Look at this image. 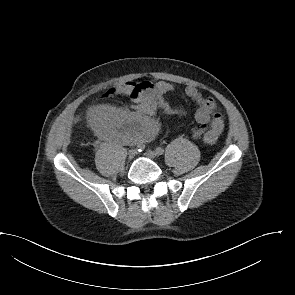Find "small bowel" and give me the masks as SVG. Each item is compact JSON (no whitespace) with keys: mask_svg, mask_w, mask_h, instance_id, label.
Wrapping results in <instances>:
<instances>
[{"mask_svg":"<svg viewBox=\"0 0 295 295\" xmlns=\"http://www.w3.org/2000/svg\"><path fill=\"white\" fill-rule=\"evenodd\" d=\"M174 90V85L166 81L123 83L115 88V92L129 96L135 103L134 111L100 105L89 111V121L102 137L116 142L135 143L151 140L158 131V124L153 119L158 110L169 114L184 112L165 100V95ZM185 94L197 105L194 137L206 133L219 136L224 128V121L222 115L216 111L215 99L204 96L195 86H187Z\"/></svg>","mask_w":295,"mask_h":295,"instance_id":"small-bowel-1","label":"small bowel"}]
</instances>
